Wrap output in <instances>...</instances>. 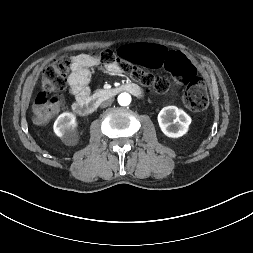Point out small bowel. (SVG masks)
<instances>
[{
    "label": "small bowel",
    "instance_id": "obj_1",
    "mask_svg": "<svg viewBox=\"0 0 253 253\" xmlns=\"http://www.w3.org/2000/svg\"><path fill=\"white\" fill-rule=\"evenodd\" d=\"M98 64V60L86 54H79L72 58L68 85L70 92L77 100L89 95L90 89L88 85L91 78V68L97 66ZM106 70L108 73L113 75H117L121 72L120 68L116 64L106 66Z\"/></svg>",
    "mask_w": 253,
    "mask_h": 253
}]
</instances>
